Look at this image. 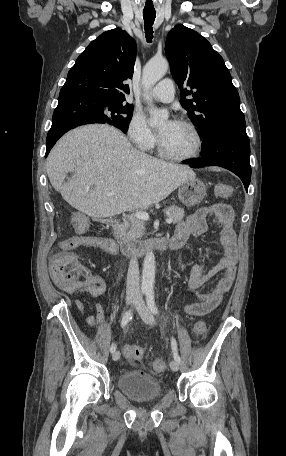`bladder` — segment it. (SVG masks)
<instances>
[{
  "label": "bladder",
  "mask_w": 286,
  "mask_h": 456,
  "mask_svg": "<svg viewBox=\"0 0 286 456\" xmlns=\"http://www.w3.org/2000/svg\"><path fill=\"white\" fill-rule=\"evenodd\" d=\"M118 383L121 392L136 402L153 401L163 393L161 384L154 376L139 370L123 372Z\"/></svg>",
  "instance_id": "1"
}]
</instances>
